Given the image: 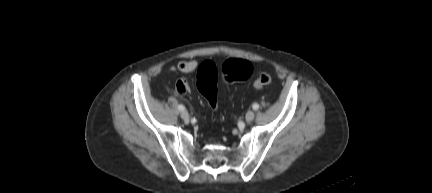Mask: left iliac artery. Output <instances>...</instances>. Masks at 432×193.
Instances as JSON below:
<instances>
[{"label": "left iliac artery", "instance_id": "44dca946", "mask_svg": "<svg viewBox=\"0 0 432 193\" xmlns=\"http://www.w3.org/2000/svg\"><path fill=\"white\" fill-rule=\"evenodd\" d=\"M252 108H253L254 110H257V109L259 108V105H258L257 103H254V104L252 105Z\"/></svg>", "mask_w": 432, "mask_h": 193}]
</instances>
